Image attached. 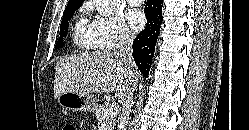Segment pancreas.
Returning <instances> with one entry per match:
<instances>
[{
    "mask_svg": "<svg viewBox=\"0 0 249 130\" xmlns=\"http://www.w3.org/2000/svg\"><path fill=\"white\" fill-rule=\"evenodd\" d=\"M109 106L110 105L108 104H102L96 108V120L100 130H114L116 122L115 116L109 118L104 117V112L109 108Z\"/></svg>",
    "mask_w": 249,
    "mask_h": 130,
    "instance_id": "cf45deb5",
    "label": "pancreas"
}]
</instances>
